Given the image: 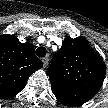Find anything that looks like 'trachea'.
<instances>
[{
    "mask_svg": "<svg viewBox=\"0 0 108 108\" xmlns=\"http://www.w3.org/2000/svg\"><path fill=\"white\" fill-rule=\"evenodd\" d=\"M36 55L39 57H44L46 55V49L44 47L37 48Z\"/></svg>",
    "mask_w": 108,
    "mask_h": 108,
    "instance_id": "3493384b",
    "label": "trachea"
}]
</instances>
